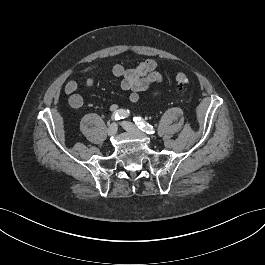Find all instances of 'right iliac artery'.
Segmentation results:
<instances>
[{"label":"right iliac artery","instance_id":"1","mask_svg":"<svg viewBox=\"0 0 265 265\" xmlns=\"http://www.w3.org/2000/svg\"><path fill=\"white\" fill-rule=\"evenodd\" d=\"M128 116H129V110L119 109L112 114L111 119L117 121L120 119H124Z\"/></svg>","mask_w":265,"mask_h":265}]
</instances>
